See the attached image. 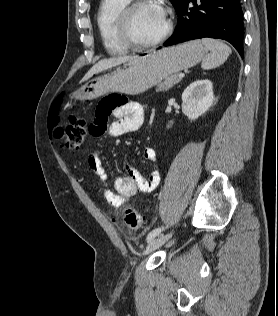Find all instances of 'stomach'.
Masks as SVG:
<instances>
[{"instance_id": "obj_1", "label": "stomach", "mask_w": 278, "mask_h": 316, "mask_svg": "<svg viewBox=\"0 0 278 316\" xmlns=\"http://www.w3.org/2000/svg\"><path fill=\"white\" fill-rule=\"evenodd\" d=\"M206 53L207 48L199 40L154 51L87 82L72 98L92 100L110 92L142 93L169 76L193 67Z\"/></svg>"}]
</instances>
